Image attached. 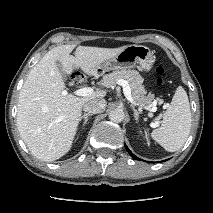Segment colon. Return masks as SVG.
I'll use <instances>...</instances> for the list:
<instances>
[{
	"label": "colon",
	"instance_id": "colon-1",
	"mask_svg": "<svg viewBox=\"0 0 213 213\" xmlns=\"http://www.w3.org/2000/svg\"><path fill=\"white\" fill-rule=\"evenodd\" d=\"M155 71H156V74H157V76H158V78H157V80H156V83H157L158 85H162V84H163V75H164V73H165V67H164L163 65L160 64V65H158V66L156 67ZM84 80H85V77H84L82 74H80V73H75V74H73V76H72V82H73L74 84H80V83H82Z\"/></svg>",
	"mask_w": 213,
	"mask_h": 213
}]
</instances>
